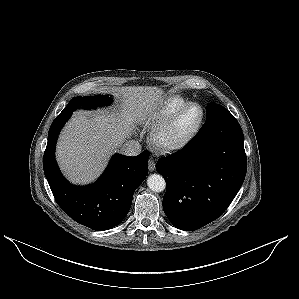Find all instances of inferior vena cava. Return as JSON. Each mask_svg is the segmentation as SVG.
I'll use <instances>...</instances> for the list:
<instances>
[{
	"mask_svg": "<svg viewBox=\"0 0 299 299\" xmlns=\"http://www.w3.org/2000/svg\"><path fill=\"white\" fill-rule=\"evenodd\" d=\"M141 150V145L135 140L125 142L121 148L122 153L127 156H137Z\"/></svg>",
	"mask_w": 299,
	"mask_h": 299,
	"instance_id": "602c4592",
	"label": "inferior vena cava"
}]
</instances>
